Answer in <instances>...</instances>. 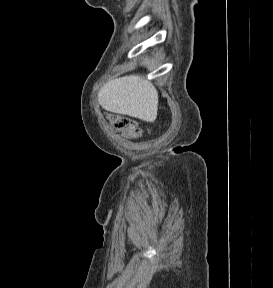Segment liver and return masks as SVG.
<instances>
[{
	"label": "liver",
	"mask_w": 273,
	"mask_h": 288,
	"mask_svg": "<svg viewBox=\"0 0 273 288\" xmlns=\"http://www.w3.org/2000/svg\"><path fill=\"white\" fill-rule=\"evenodd\" d=\"M98 102L106 111L154 122L158 110V92L139 75H129L106 83L98 93Z\"/></svg>",
	"instance_id": "obj_1"
}]
</instances>
